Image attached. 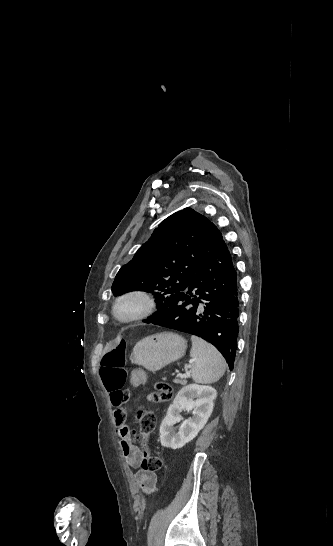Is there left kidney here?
<instances>
[{"instance_id": "obj_1", "label": "left kidney", "mask_w": 333, "mask_h": 546, "mask_svg": "<svg viewBox=\"0 0 333 546\" xmlns=\"http://www.w3.org/2000/svg\"><path fill=\"white\" fill-rule=\"evenodd\" d=\"M216 395V390L211 386L189 384L183 387L169 406L161 423V445L171 449H179L194 439L207 423L213 410V401ZM182 410H193V416L184 420L176 433L173 425L183 419L180 415Z\"/></svg>"}]
</instances>
